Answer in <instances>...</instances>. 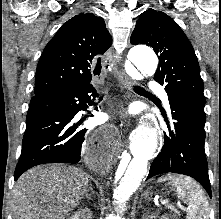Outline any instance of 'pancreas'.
<instances>
[{
  "label": "pancreas",
  "mask_w": 221,
  "mask_h": 219,
  "mask_svg": "<svg viewBox=\"0 0 221 219\" xmlns=\"http://www.w3.org/2000/svg\"><path fill=\"white\" fill-rule=\"evenodd\" d=\"M169 209H170L171 211H174V212H176V213L179 214V211H178L177 209H175V208H173V207H171V206H169Z\"/></svg>",
  "instance_id": "cf45deb5"
}]
</instances>
